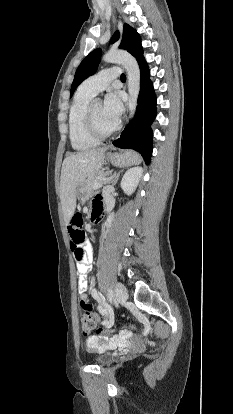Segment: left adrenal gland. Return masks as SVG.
Returning <instances> with one entry per match:
<instances>
[{
    "label": "left adrenal gland",
    "mask_w": 233,
    "mask_h": 414,
    "mask_svg": "<svg viewBox=\"0 0 233 414\" xmlns=\"http://www.w3.org/2000/svg\"><path fill=\"white\" fill-rule=\"evenodd\" d=\"M123 170H120V171H118L117 173H115L114 175H113V179H112V185L114 186V185H116V183H117V181H118V179H119V176H120V173L122 172Z\"/></svg>",
    "instance_id": "left-adrenal-gland-1"
}]
</instances>
